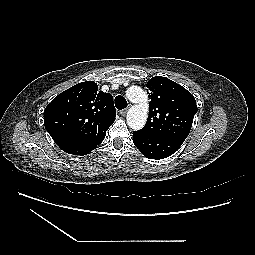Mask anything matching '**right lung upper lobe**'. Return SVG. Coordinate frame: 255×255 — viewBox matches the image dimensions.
I'll use <instances>...</instances> for the list:
<instances>
[{
	"label": "right lung upper lobe",
	"instance_id": "obj_1",
	"mask_svg": "<svg viewBox=\"0 0 255 255\" xmlns=\"http://www.w3.org/2000/svg\"><path fill=\"white\" fill-rule=\"evenodd\" d=\"M111 94L98 91L94 81L76 84L56 96L44 110V125L65 152L85 155L115 121Z\"/></svg>",
	"mask_w": 255,
	"mask_h": 255
}]
</instances>
